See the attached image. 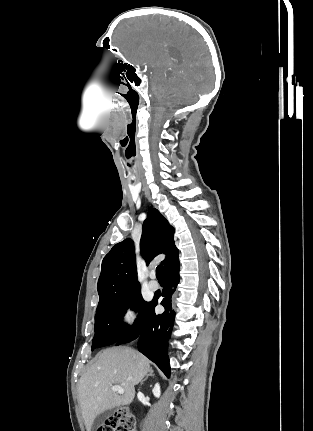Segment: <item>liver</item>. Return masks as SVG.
<instances>
[{"mask_svg":"<svg viewBox=\"0 0 313 431\" xmlns=\"http://www.w3.org/2000/svg\"><path fill=\"white\" fill-rule=\"evenodd\" d=\"M150 370V361L128 347H112L97 354L94 362L78 382V399L87 431L104 411L130 404L135 397L134 386ZM120 385L124 393L112 391Z\"/></svg>","mask_w":313,"mask_h":431,"instance_id":"1","label":"liver"}]
</instances>
